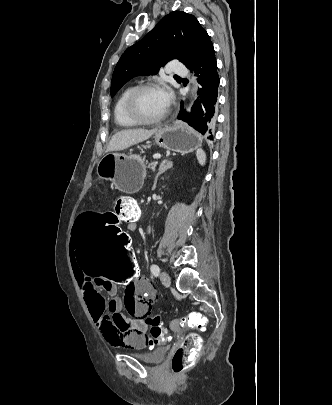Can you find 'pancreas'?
<instances>
[{
	"label": "pancreas",
	"instance_id": "1",
	"mask_svg": "<svg viewBox=\"0 0 332 405\" xmlns=\"http://www.w3.org/2000/svg\"><path fill=\"white\" fill-rule=\"evenodd\" d=\"M157 164H155V162H152L150 164H148V168H155Z\"/></svg>",
	"mask_w": 332,
	"mask_h": 405
}]
</instances>
